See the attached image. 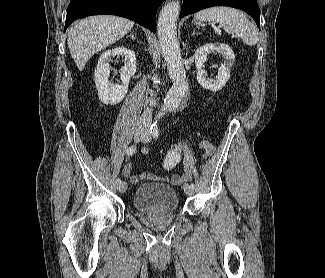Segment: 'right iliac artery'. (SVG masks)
<instances>
[{
  "instance_id": "82829eb1",
  "label": "right iliac artery",
  "mask_w": 325,
  "mask_h": 278,
  "mask_svg": "<svg viewBox=\"0 0 325 278\" xmlns=\"http://www.w3.org/2000/svg\"><path fill=\"white\" fill-rule=\"evenodd\" d=\"M136 152V146H131V147H129L127 150H126V154L127 155H132V154H134ZM116 183L117 184H120L121 183V179H116Z\"/></svg>"
}]
</instances>
